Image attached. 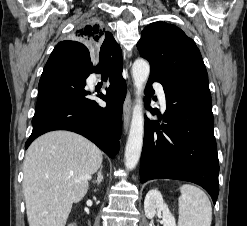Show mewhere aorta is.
Segmentation results:
<instances>
[{"mask_svg": "<svg viewBox=\"0 0 247 226\" xmlns=\"http://www.w3.org/2000/svg\"><path fill=\"white\" fill-rule=\"evenodd\" d=\"M149 74V63L142 58L136 59L132 66L136 104L133 107L131 126L125 148V166L129 170L136 167L141 156L144 135L143 102L141 96Z\"/></svg>", "mask_w": 247, "mask_h": 226, "instance_id": "aorta-1", "label": "aorta"}]
</instances>
